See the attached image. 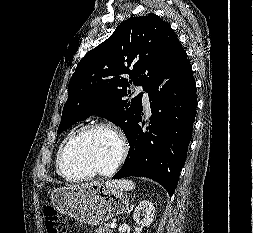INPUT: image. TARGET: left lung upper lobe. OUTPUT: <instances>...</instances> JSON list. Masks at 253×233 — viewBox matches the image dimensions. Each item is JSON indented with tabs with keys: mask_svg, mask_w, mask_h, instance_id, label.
I'll return each mask as SVG.
<instances>
[{
	"mask_svg": "<svg viewBox=\"0 0 253 233\" xmlns=\"http://www.w3.org/2000/svg\"><path fill=\"white\" fill-rule=\"evenodd\" d=\"M178 43L170 25L153 13L122 22L78 63L57 133L97 114L120 126L127 136L143 95L125 99L131 94L127 88L137 85L147 91L162 76Z\"/></svg>",
	"mask_w": 253,
	"mask_h": 233,
	"instance_id": "5c2ea615",
	"label": "left lung upper lobe"
}]
</instances>
